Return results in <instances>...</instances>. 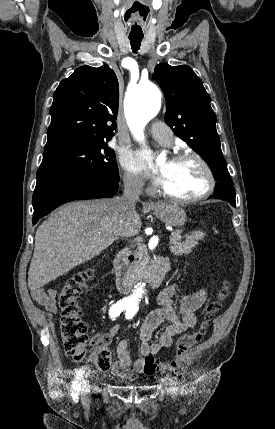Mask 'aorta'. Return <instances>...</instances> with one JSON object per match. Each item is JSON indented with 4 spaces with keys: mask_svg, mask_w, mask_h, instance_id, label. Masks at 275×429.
Masks as SVG:
<instances>
[{
    "mask_svg": "<svg viewBox=\"0 0 275 429\" xmlns=\"http://www.w3.org/2000/svg\"><path fill=\"white\" fill-rule=\"evenodd\" d=\"M161 102V92L152 83L138 85L127 96L125 115L128 126L137 139H143V128L148 121L159 113ZM145 293L144 285L138 284L129 300L138 303Z\"/></svg>",
    "mask_w": 275,
    "mask_h": 429,
    "instance_id": "762f6f07",
    "label": "aorta"
}]
</instances>
